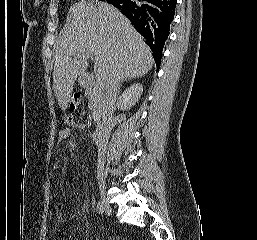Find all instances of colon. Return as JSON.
I'll return each mask as SVG.
<instances>
[{
  "mask_svg": "<svg viewBox=\"0 0 257 240\" xmlns=\"http://www.w3.org/2000/svg\"><path fill=\"white\" fill-rule=\"evenodd\" d=\"M82 105V97L80 94L75 93L72 95L71 99H70V107L73 110L79 109Z\"/></svg>",
  "mask_w": 257,
  "mask_h": 240,
  "instance_id": "colon-1",
  "label": "colon"
}]
</instances>
